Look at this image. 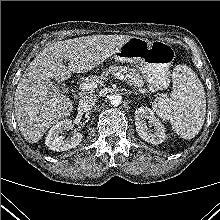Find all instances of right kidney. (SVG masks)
I'll return each instance as SVG.
<instances>
[{"label":"right kidney","instance_id":"obj_1","mask_svg":"<svg viewBox=\"0 0 220 220\" xmlns=\"http://www.w3.org/2000/svg\"><path fill=\"white\" fill-rule=\"evenodd\" d=\"M73 128L72 121L69 119L62 120L56 123L48 132L45 144L49 149L60 152L75 148L82 141L83 135L80 132H75L71 137L65 138L62 135L64 131H69Z\"/></svg>","mask_w":220,"mask_h":220}]
</instances>
